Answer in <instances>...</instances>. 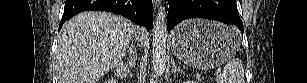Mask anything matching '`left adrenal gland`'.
Returning <instances> with one entry per match:
<instances>
[{
	"instance_id": "obj_1",
	"label": "left adrenal gland",
	"mask_w": 307,
	"mask_h": 83,
	"mask_svg": "<svg viewBox=\"0 0 307 83\" xmlns=\"http://www.w3.org/2000/svg\"><path fill=\"white\" fill-rule=\"evenodd\" d=\"M177 72L184 75V72H183L180 68H178V67L176 66L174 60H172V73H173V74H176Z\"/></svg>"
}]
</instances>
